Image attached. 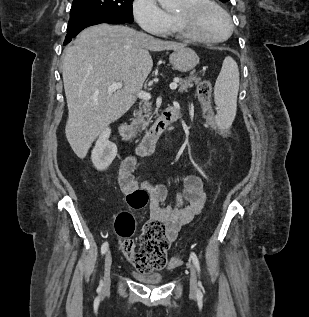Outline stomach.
Here are the masks:
<instances>
[{
	"label": "stomach",
	"mask_w": 309,
	"mask_h": 317,
	"mask_svg": "<svg viewBox=\"0 0 309 317\" xmlns=\"http://www.w3.org/2000/svg\"><path fill=\"white\" fill-rule=\"evenodd\" d=\"M173 68L180 72H188L199 63V57L193 49L183 47L176 49L169 57Z\"/></svg>",
	"instance_id": "stomach-1"
}]
</instances>
